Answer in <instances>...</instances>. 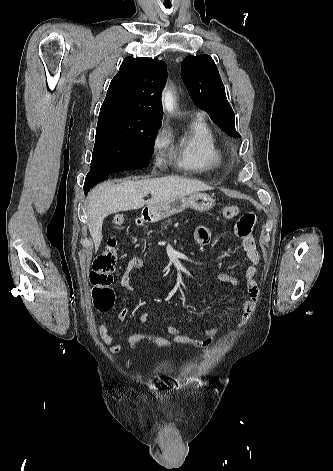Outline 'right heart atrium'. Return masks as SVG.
<instances>
[{
  "label": "right heart atrium",
  "instance_id": "obj_1",
  "mask_svg": "<svg viewBox=\"0 0 333 471\" xmlns=\"http://www.w3.org/2000/svg\"><path fill=\"white\" fill-rule=\"evenodd\" d=\"M168 132L164 128H160L153 137L152 147L156 160H160V157L167 147L168 144Z\"/></svg>",
  "mask_w": 333,
  "mask_h": 471
}]
</instances>
